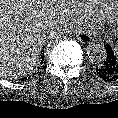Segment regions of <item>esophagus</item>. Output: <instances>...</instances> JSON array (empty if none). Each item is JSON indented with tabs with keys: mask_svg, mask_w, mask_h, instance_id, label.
<instances>
[{
	"mask_svg": "<svg viewBox=\"0 0 118 118\" xmlns=\"http://www.w3.org/2000/svg\"><path fill=\"white\" fill-rule=\"evenodd\" d=\"M74 33L78 41L82 43L90 44L93 41V38L85 30L81 28H76Z\"/></svg>",
	"mask_w": 118,
	"mask_h": 118,
	"instance_id": "1",
	"label": "esophagus"
}]
</instances>
